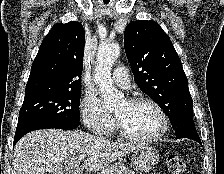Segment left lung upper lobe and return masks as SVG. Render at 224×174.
Instances as JSON below:
<instances>
[{
	"mask_svg": "<svg viewBox=\"0 0 224 174\" xmlns=\"http://www.w3.org/2000/svg\"><path fill=\"white\" fill-rule=\"evenodd\" d=\"M124 48L139 88L168 115L173 128L193 120V101L181 60L169 37L154 21L128 24Z\"/></svg>",
	"mask_w": 224,
	"mask_h": 174,
	"instance_id": "obj_1",
	"label": "left lung upper lobe"
}]
</instances>
